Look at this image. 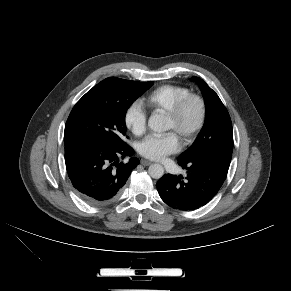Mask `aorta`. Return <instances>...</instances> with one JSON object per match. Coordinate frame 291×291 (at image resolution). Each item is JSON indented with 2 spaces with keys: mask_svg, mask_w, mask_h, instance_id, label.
<instances>
[{
  "mask_svg": "<svg viewBox=\"0 0 291 291\" xmlns=\"http://www.w3.org/2000/svg\"><path fill=\"white\" fill-rule=\"evenodd\" d=\"M148 126L154 132H164L167 130L164 117L158 114H153L150 116ZM148 173L152 178L160 179L164 175V168L160 164H152L149 166Z\"/></svg>",
  "mask_w": 291,
  "mask_h": 291,
  "instance_id": "762f6f07",
  "label": "aorta"
}]
</instances>
